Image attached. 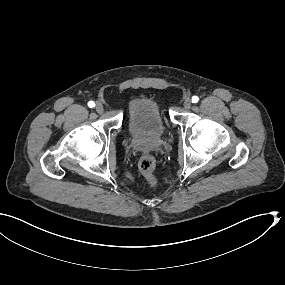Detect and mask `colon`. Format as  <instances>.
<instances>
[{
	"label": "colon",
	"instance_id": "obj_1",
	"mask_svg": "<svg viewBox=\"0 0 285 285\" xmlns=\"http://www.w3.org/2000/svg\"><path fill=\"white\" fill-rule=\"evenodd\" d=\"M156 161L151 155H144L139 161V170L151 186L157 183L155 177Z\"/></svg>",
	"mask_w": 285,
	"mask_h": 285
}]
</instances>
